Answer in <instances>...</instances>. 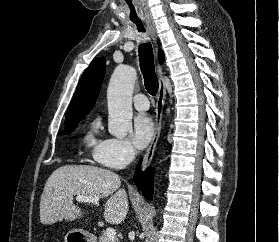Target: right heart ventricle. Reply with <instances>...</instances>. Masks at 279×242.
<instances>
[{
    "label": "right heart ventricle",
    "mask_w": 279,
    "mask_h": 242,
    "mask_svg": "<svg viewBox=\"0 0 279 242\" xmlns=\"http://www.w3.org/2000/svg\"><path fill=\"white\" fill-rule=\"evenodd\" d=\"M100 122L99 120H94L90 126L87 132L84 135L83 142L86 151L92 152L93 154L98 150V148L103 144L105 140H102L98 136Z\"/></svg>",
    "instance_id": "obj_1"
}]
</instances>
